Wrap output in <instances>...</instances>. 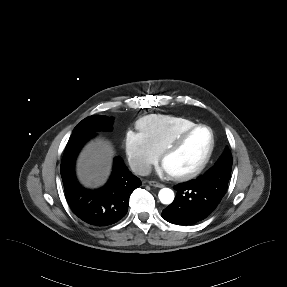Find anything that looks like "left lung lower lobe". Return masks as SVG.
<instances>
[{
  "mask_svg": "<svg viewBox=\"0 0 287 287\" xmlns=\"http://www.w3.org/2000/svg\"><path fill=\"white\" fill-rule=\"evenodd\" d=\"M209 178L193 179L174 188V201L163 210L162 217L177 225H191L205 219L220 203L229 178L222 170H213Z\"/></svg>",
  "mask_w": 287,
  "mask_h": 287,
  "instance_id": "0a47b994",
  "label": "left lung lower lobe"
}]
</instances>
